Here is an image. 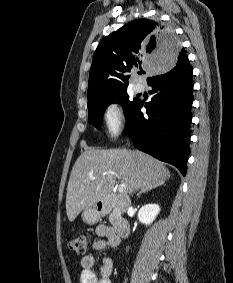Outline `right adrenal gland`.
<instances>
[{"label": "right adrenal gland", "instance_id": "1", "mask_svg": "<svg viewBox=\"0 0 233 283\" xmlns=\"http://www.w3.org/2000/svg\"><path fill=\"white\" fill-rule=\"evenodd\" d=\"M149 190H151V188H146V189L141 190V191L137 194V197H140L141 194H143V193H145V192H147V191H149Z\"/></svg>", "mask_w": 233, "mask_h": 283}]
</instances>
